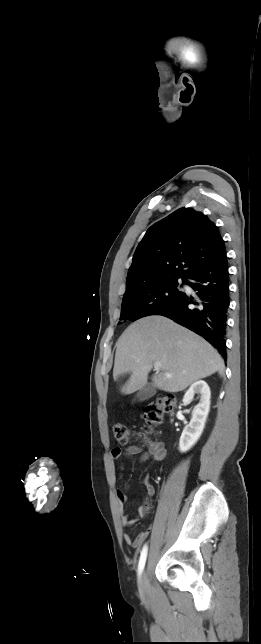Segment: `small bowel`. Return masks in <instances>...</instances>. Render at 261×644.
<instances>
[{"mask_svg":"<svg viewBox=\"0 0 261 644\" xmlns=\"http://www.w3.org/2000/svg\"><path fill=\"white\" fill-rule=\"evenodd\" d=\"M134 456L141 455L140 460L142 462L152 460L154 462H160L164 460L166 456V449L161 442L152 443L147 450H143L142 447L138 445H131L127 447L124 451L120 446H116L112 449L111 456L114 460L119 459L122 455ZM124 488H127L125 485ZM145 490L148 497H152L155 494V488L149 482L145 483ZM117 496L120 505L121 511V524L124 528L133 526L140 518H143L146 514V506L139 505L136 509V516L130 517L125 514L123 511V505L126 501V496L122 490L117 491ZM152 530L151 526H148L145 530L141 531L135 538H132L128 533L124 534V540L133 547H139L143 541L148 537Z\"/></svg>","mask_w":261,"mask_h":644,"instance_id":"1","label":"small bowel"}]
</instances>
